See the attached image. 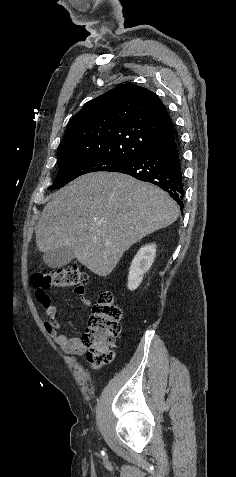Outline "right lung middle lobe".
I'll list each match as a JSON object with an SVG mask.
<instances>
[{
  "mask_svg": "<svg viewBox=\"0 0 236 477\" xmlns=\"http://www.w3.org/2000/svg\"><path fill=\"white\" fill-rule=\"evenodd\" d=\"M130 159L116 158L111 156H82L58 161L60 171L48 189H58L74 180L75 178L98 171L113 172L125 165Z\"/></svg>",
  "mask_w": 236,
  "mask_h": 477,
  "instance_id": "right-lung-middle-lobe-1",
  "label": "right lung middle lobe"
}]
</instances>
